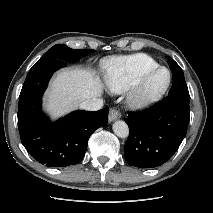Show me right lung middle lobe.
I'll use <instances>...</instances> for the list:
<instances>
[{
    "instance_id": "obj_1",
    "label": "right lung middle lobe",
    "mask_w": 213,
    "mask_h": 213,
    "mask_svg": "<svg viewBox=\"0 0 213 213\" xmlns=\"http://www.w3.org/2000/svg\"><path fill=\"white\" fill-rule=\"evenodd\" d=\"M93 51L94 50L92 49H71L66 45L56 44L51 47L46 52V54L35 63V65L51 60H65L75 62Z\"/></svg>"
}]
</instances>
